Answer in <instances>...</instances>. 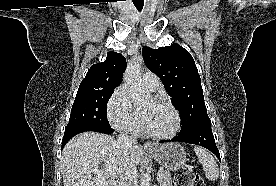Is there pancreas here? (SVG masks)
<instances>
[{
  "label": "pancreas",
  "instance_id": "obj_1",
  "mask_svg": "<svg viewBox=\"0 0 276 186\" xmlns=\"http://www.w3.org/2000/svg\"><path fill=\"white\" fill-rule=\"evenodd\" d=\"M159 173L163 174L162 179L159 181L160 186H172L171 174L168 170H161Z\"/></svg>",
  "mask_w": 276,
  "mask_h": 186
}]
</instances>
